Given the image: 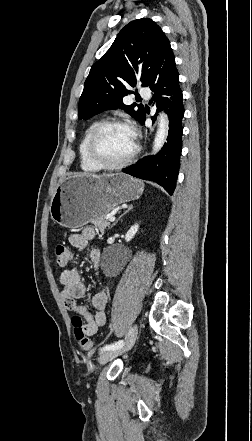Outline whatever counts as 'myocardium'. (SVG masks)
Returning a JSON list of instances; mask_svg holds the SVG:
<instances>
[{
	"mask_svg": "<svg viewBox=\"0 0 252 441\" xmlns=\"http://www.w3.org/2000/svg\"><path fill=\"white\" fill-rule=\"evenodd\" d=\"M109 126L127 127L131 130V132L133 133V136H134V148H133L132 152L125 159H123L122 161L117 162V163H108V162L104 161L103 159H101L98 156V154L96 153V140H97L99 134L102 132V130L105 129L106 127H109ZM139 149H140V146L137 141L136 131H135L134 127L128 121L123 120V119H119V118H111V119H106V120L98 122L97 125L92 130L90 137H89V140H88V144H87V153H88V156L91 159V161L94 162L96 165H98L100 168L107 169V170H117V169H121V168L126 167L136 157V155L139 152Z\"/></svg>",
	"mask_w": 252,
	"mask_h": 441,
	"instance_id": "myocardium-1",
	"label": "myocardium"
}]
</instances>
